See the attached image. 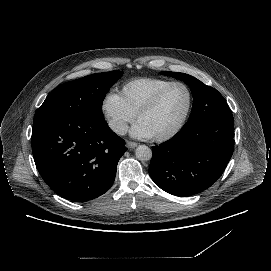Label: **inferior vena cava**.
<instances>
[{
  "label": "inferior vena cava",
  "mask_w": 271,
  "mask_h": 271,
  "mask_svg": "<svg viewBox=\"0 0 271 271\" xmlns=\"http://www.w3.org/2000/svg\"><path fill=\"white\" fill-rule=\"evenodd\" d=\"M109 126L118 135H126L128 131V125L121 120H112L109 122Z\"/></svg>",
  "instance_id": "1"
}]
</instances>
